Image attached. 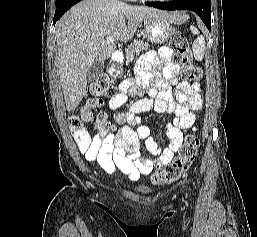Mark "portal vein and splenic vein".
<instances>
[{"instance_id":"portal-vein-and-splenic-vein-1","label":"portal vein and splenic vein","mask_w":257,"mask_h":237,"mask_svg":"<svg viewBox=\"0 0 257 237\" xmlns=\"http://www.w3.org/2000/svg\"><path fill=\"white\" fill-rule=\"evenodd\" d=\"M114 41V37L112 36H109L106 38V42L110 43V42H113Z\"/></svg>"}]
</instances>
